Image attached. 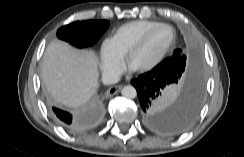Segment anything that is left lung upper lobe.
I'll use <instances>...</instances> for the list:
<instances>
[{
	"mask_svg": "<svg viewBox=\"0 0 244 157\" xmlns=\"http://www.w3.org/2000/svg\"><path fill=\"white\" fill-rule=\"evenodd\" d=\"M187 65L186 56L181 53V50H175L171 57L166 58L160 64H158L154 69L164 71L166 73L178 74L184 71Z\"/></svg>",
	"mask_w": 244,
	"mask_h": 157,
	"instance_id": "left-lung-upper-lobe-1",
	"label": "left lung upper lobe"
}]
</instances>
